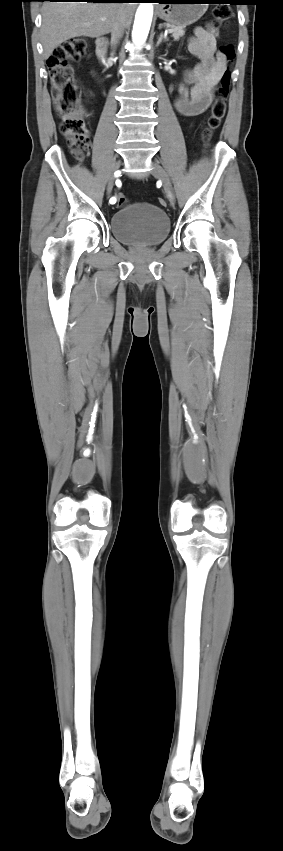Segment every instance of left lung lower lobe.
Masks as SVG:
<instances>
[{"mask_svg":"<svg viewBox=\"0 0 283 851\" xmlns=\"http://www.w3.org/2000/svg\"><path fill=\"white\" fill-rule=\"evenodd\" d=\"M213 1L214 2H212V3H225V4H237V5L239 4L238 0H213Z\"/></svg>","mask_w":283,"mask_h":851,"instance_id":"left-lung-lower-lobe-1","label":"left lung lower lobe"}]
</instances>
